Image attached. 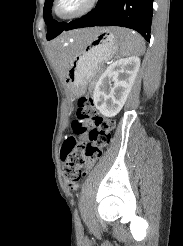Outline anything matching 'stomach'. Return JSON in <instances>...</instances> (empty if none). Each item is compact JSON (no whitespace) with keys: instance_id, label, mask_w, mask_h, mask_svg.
I'll return each instance as SVG.
<instances>
[{"instance_id":"0dacf381","label":"stomach","mask_w":183,"mask_h":246,"mask_svg":"<svg viewBox=\"0 0 183 246\" xmlns=\"http://www.w3.org/2000/svg\"><path fill=\"white\" fill-rule=\"evenodd\" d=\"M119 28H98L92 39L82 42H64V49L71 57L65 84L71 97L84 93L86 84L96 75L105 61L117 51ZM90 61V62H80Z\"/></svg>"}]
</instances>
